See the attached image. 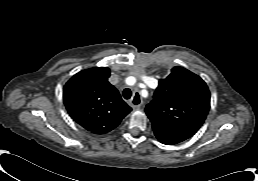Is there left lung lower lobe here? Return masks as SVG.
<instances>
[{
  "label": "left lung lower lobe",
  "mask_w": 258,
  "mask_h": 181,
  "mask_svg": "<svg viewBox=\"0 0 258 181\" xmlns=\"http://www.w3.org/2000/svg\"><path fill=\"white\" fill-rule=\"evenodd\" d=\"M154 134L161 143L166 144V145L176 144V143H179V142L185 140L182 137L175 136V135H172L169 133H165L160 130H154Z\"/></svg>",
  "instance_id": "0a47b994"
}]
</instances>
